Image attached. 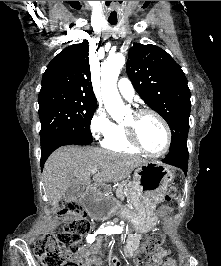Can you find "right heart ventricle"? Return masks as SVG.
<instances>
[{
	"instance_id": "obj_1",
	"label": "right heart ventricle",
	"mask_w": 221,
	"mask_h": 266,
	"mask_svg": "<svg viewBox=\"0 0 221 266\" xmlns=\"http://www.w3.org/2000/svg\"><path fill=\"white\" fill-rule=\"evenodd\" d=\"M104 148L127 154L138 153V150L130 143L126 130L122 124H114L112 131L102 141Z\"/></svg>"
}]
</instances>
